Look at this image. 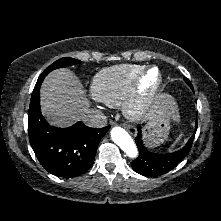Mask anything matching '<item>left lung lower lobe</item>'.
<instances>
[{"mask_svg":"<svg viewBox=\"0 0 221 221\" xmlns=\"http://www.w3.org/2000/svg\"><path fill=\"white\" fill-rule=\"evenodd\" d=\"M137 128L139 133L135 142L139 150V155L132 161L131 166L134 171L141 175L155 177L175 168L189 153L197 130V123L195 132L186 145L182 149L169 154H156L148 151L142 141L141 126L138 125Z\"/></svg>","mask_w":221,"mask_h":221,"instance_id":"1","label":"left lung lower lobe"}]
</instances>
